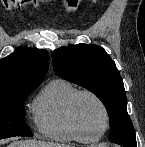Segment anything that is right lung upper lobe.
Wrapping results in <instances>:
<instances>
[{
  "label": "right lung upper lobe",
  "instance_id": "obj_1",
  "mask_svg": "<svg viewBox=\"0 0 145 147\" xmlns=\"http://www.w3.org/2000/svg\"><path fill=\"white\" fill-rule=\"evenodd\" d=\"M48 66L47 51L18 47L14 53L0 60V92L25 86H39Z\"/></svg>",
  "mask_w": 145,
  "mask_h": 147
}]
</instances>
